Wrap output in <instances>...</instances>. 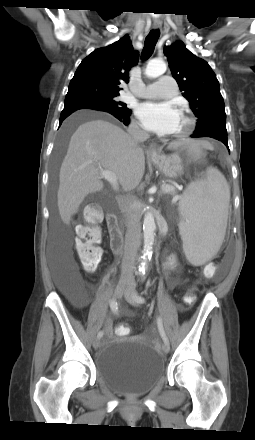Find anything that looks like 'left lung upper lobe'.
<instances>
[{"label":"left lung upper lobe","instance_id":"5c2ea615","mask_svg":"<svg viewBox=\"0 0 255 440\" xmlns=\"http://www.w3.org/2000/svg\"><path fill=\"white\" fill-rule=\"evenodd\" d=\"M172 76L198 118L194 133H227L226 113L220 85L209 64L191 53L182 41L164 47Z\"/></svg>","mask_w":255,"mask_h":440}]
</instances>
